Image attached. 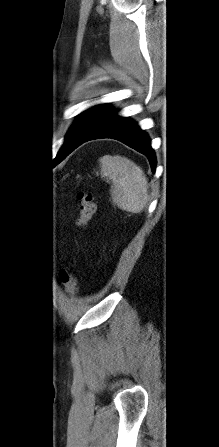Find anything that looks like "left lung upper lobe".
Returning a JSON list of instances; mask_svg holds the SVG:
<instances>
[{
	"mask_svg": "<svg viewBox=\"0 0 219 447\" xmlns=\"http://www.w3.org/2000/svg\"><path fill=\"white\" fill-rule=\"evenodd\" d=\"M111 112L112 109L108 108L106 104L97 105L84 111L68 132L57 157L66 152L73 144L82 141L97 130Z\"/></svg>",
	"mask_w": 219,
	"mask_h": 447,
	"instance_id": "left-lung-upper-lobe-1",
	"label": "left lung upper lobe"
}]
</instances>
